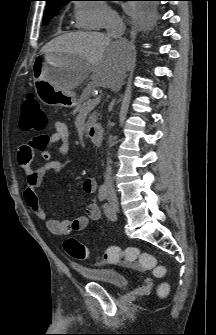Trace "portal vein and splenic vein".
<instances>
[{
    "mask_svg": "<svg viewBox=\"0 0 216 335\" xmlns=\"http://www.w3.org/2000/svg\"><path fill=\"white\" fill-rule=\"evenodd\" d=\"M100 101H101V96L100 95L94 97V99L91 100L90 103H89V108H93L94 106H96L97 104H99Z\"/></svg>",
    "mask_w": 216,
    "mask_h": 335,
    "instance_id": "1",
    "label": "portal vein and splenic vein"
}]
</instances>
